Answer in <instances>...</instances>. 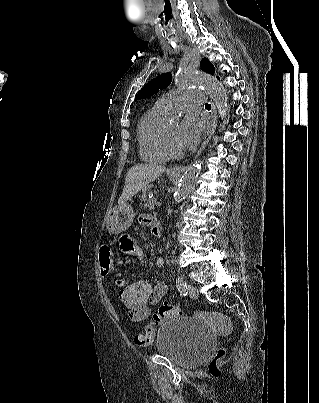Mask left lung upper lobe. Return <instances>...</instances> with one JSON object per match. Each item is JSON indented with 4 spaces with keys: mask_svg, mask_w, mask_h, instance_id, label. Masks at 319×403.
<instances>
[{
    "mask_svg": "<svg viewBox=\"0 0 319 403\" xmlns=\"http://www.w3.org/2000/svg\"><path fill=\"white\" fill-rule=\"evenodd\" d=\"M201 69L207 73L214 74V66L207 58H203L200 63ZM172 81L171 73H163L149 81L136 95L135 100L145 99L157 93L160 89L167 88Z\"/></svg>",
    "mask_w": 319,
    "mask_h": 403,
    "instance_id": "5c2ea615",
    "label": "left lung upper lobe"
}]
</instances>
